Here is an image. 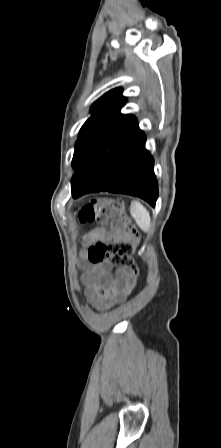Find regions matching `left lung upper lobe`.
I'll use <instances>...</instances> for the list:
<instances>
[{
    "mask_svg": "<svg viewBox=\"0 0 221 448\" xmlns=\"http://www.w3.org/2000/svg\"><path fill=\"white\" fill-rule=\"evenodd\" d=\"M125 103L122 89L116 88L92 105L91 117L82 126L75 144L74 169L93 166L140 131L134 116L120 113Z\"/></svg>",
    "mask_w": 221,
    "mask_h": 448,
    "instance_id": "left-lung-upper-lobe-1",
    "label": "left lung upper lobe"
}]
</instances>
